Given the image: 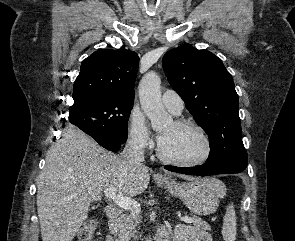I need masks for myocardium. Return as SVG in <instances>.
Segmentation results:
<instances>
[{
  "label": "myocardium",
  "mask_w": 295,
  "mask_h": 241,
  "mask_svg": "<svg viewBox=\"0 0 295 241\" xmlns=\"http://www.w3.org/2000/svg\"><path fill=\"white\" fill-rule=\"evenodd\" d=\"M174 124L181 128H192L196 130L204 142V147H205L204 153L198 159H195L192 161L177 160L167 156L163 152L161 141H160L157 148L158 158L167 164H171L178 167H184V168L198 167L208 162V160L211 158L213 154V142L208 132L201 125H199L198 123L194 121L176 120Z\"/></svg>",
  "instance_id": "f54148a6"
}]
</instances>
